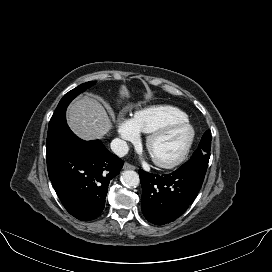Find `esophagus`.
<instances>
[{
	"mask_svg": "<svg viewBox=\"0 0 272 272\" xmlns=\"http://www.w3.org/2000/svg\"><path fill=\"white\" fill-rule=\"evenodd\" d=\"M123 169H124V170H134V169H135V166H133V165H131V164H129V163H125V164L123 165Z\"/></svg>",
	"mask_w": 272,
	"mask_h": 272,
	"instance_id": "34e87169",
	"label": "esophagus"
}]
</instances>
